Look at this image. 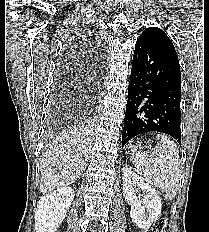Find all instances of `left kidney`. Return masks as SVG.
Returning <instances> with one entry per match:
<instances>
[{"instance_id":"left-kidney-1","label":"left kidney","mask_w":209,"mask_h":232,"mask_svg":"<svg viewBox=\"0 0 209 232\" xmlns=\"http://www.w3.org/2000/svg\"><path fill=\"white\" fill-rule=\"evenodd\" d=\"M122 171L123 195L125 201L131 205L130 217L139 228L147 230L161 214V199L150 182L137 175L128 165ZM136 187L143 194L137 195ZM145 210L148 214H145Z\"/></svg>"}]
</instances>
